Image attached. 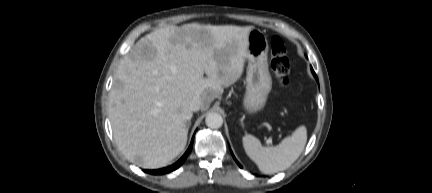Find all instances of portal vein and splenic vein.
Listing matches in <instances>:
<instances>
[{
  "instance_id": "portal-vein-and-splenic-vein-1",
  "label": "portal vein and splenic vein",
  "mask_w": 432,
  "mask_h": 193,
  "mask_svg": "<svg viewBox=\"0 0 432 193\" xmlns=\"http://www.w3.org/2000/svg\"><path fill=\"white\" fill-rule=\"evenodd\" d=\"M271 142H272V140H271V139H268V140H267V143H268V144H270Z\"/></svg>"
}]
</instances>
